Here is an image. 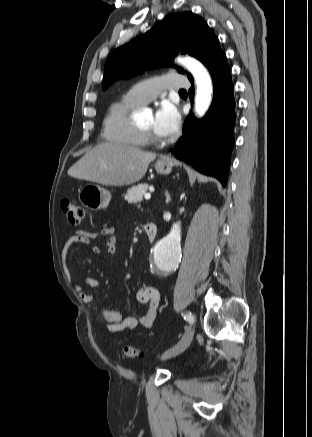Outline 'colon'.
Here are the masks:
<instances>
[{
    "mask_svg": "<svg viewBox=\"0 0 312 437\" xmlns=\"http://www.w3.org/2000/svg\"><path fill=\"white\" fill-rule=\"evenodd\" d=\"M61 206L70 224L77 225L81 222L84 216V210L80 205L71 200H64ZM139 353V350L133 345H125L123 347V354L126 357H136Z\"/></svg>",
    "mask_w": 312,
    "mask_h": 437,
    "instance_id": "colon-1",
    "label": "colon"
}]
</instances>
